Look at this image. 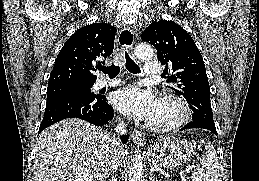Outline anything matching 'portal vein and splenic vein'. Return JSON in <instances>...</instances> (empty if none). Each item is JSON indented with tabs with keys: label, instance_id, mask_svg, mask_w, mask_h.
Here are the masks:
<instances>
[{
	"label": "portal vein and splenic vein",
	"instance_id": "18ae733b",
	"mask_svg": "<svg viewBox=\"0 0 259 181\" xmlns=\"http://www.w3.org/2000/svg\"><path fill=\"white\" fill-rule=\"evenodd\" d=\"M181 177L184 178L185 177L184 174H181Z\"/></svg>",
	"mask_w": 259,
	"mask_h": 181
}]
</instances>
